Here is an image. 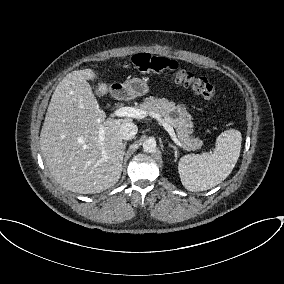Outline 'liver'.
Returning <instances> with one entry per match:
<instances>
[{"label": "liver", "instance_id": "liver-1", "mask_svg": "<svg viewBox=\"0 0 284 284\" xmlns=\"http://www.w3.org/2000/svg\"><path fill=\"white\" fill-rule=\"evenodd\" d=\"M92 69L75 70L57 85L40 133V148L54 179L65 189L81 194L100 193L120 179L124 147L120 126L131 118L105 119L87 80ZM106 95L108 86L99 83ZM104 128V140L99 129Z\"/></svg>", "mask_w": 284, "mask_h": 284}]
</instances>
